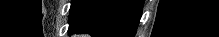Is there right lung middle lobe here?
I'll use <instances>...</instances> for the list:
<instances>
[{"instance_id": "dd1d6c3e", "label": "right lung middle lobe", "mask_w": 219, "mask_h": 37, "mask_svg": "<svg viewBox=\"0 0 219 37\" xmlns=\"http://www.w3.org/2000/svg\"><path fill=\"white\" fill-rule=\"evenodd\" d=\"M77 0H72V3L71 4H74Z\"/></svg>"}]
</instances>
